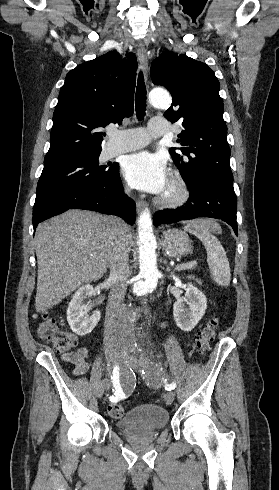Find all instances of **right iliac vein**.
<instances>
[{
  "instance_id": "1",
  "label": "right iliac vein",
  "mask_w": 279,
  "mask_h": 490,
  "mask_svg": "<svg viewBox=\"0 0 279 490\" xmlns=\"http://www.w3.org/2000/svg\"><path fill=\"white\" fill-rule=\"evenodd\" d=\"M108 360H109V362H110V363H112V364H116V363H117V355H116V354H109V355H108ZM101 385H102V388H100V389H99V391H98V397H101V396H102V394H103V389H104V388L109 387V380H104V381L101 383Z\"/></svg>"
}]
</instances>
